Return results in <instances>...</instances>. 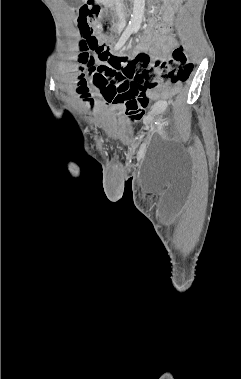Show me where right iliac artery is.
<instances>
[{"instance_id":"obj_1","label":"right iliac artery","mask_w":241,"mask_h":379,"mask_svg":"<svg viewBox=\"0 0 241 379\" xmlns=\"http://www.w3.org/2000/svg\"><path fill=\"white\" fill-rule=\"evenodd\" d=\"M132 32H133L132 28L130 27L126 28V30L123 32L121 38L119 39V41L117 42L115 46L116 50L120 49L124 45V43L127 41V39L129 38Z\"/></svg>"}]
</instances>
